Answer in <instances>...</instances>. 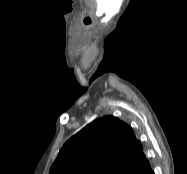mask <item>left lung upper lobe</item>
I'll use <instances>...</instances> for the list:
<instances>
[{
	"label": "left lung upper lobe",
	"instance_id": "5c2ea615",
	"mask_svg": "<svg viewBox=\"0 0 187 174\" xmlns=\"http://www.w3.org/2000/svg\"><path fill=\"white\" fill-rule=\"evenodd\" d=\"M150 164L131 127L113 116L88 124L61 148L50 174H142Z\"/></svg>",
	"mask_w": 187,
	"mask_h": 174
}]
</instances>
